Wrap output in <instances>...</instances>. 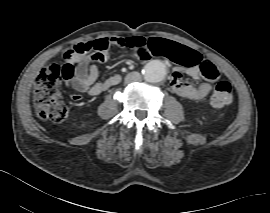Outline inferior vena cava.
<instances>
[{
  "instance_id": "inferior-vena-cava-1",
  "label": "inferior vena cava",
  "mask_w": 270,
  "mask_h": 213,
  "mask_svg": "<svg viewBox=\"0 0 270 213\" xmlns=\"http://www.w3.org/2000/svg\"><path fill=\"white\" fill-rule=\"evenodd\" d=\"M141 80H142V77H141L140 73H138V72H130L125 77L126 83L139 82Z\"/></svg>"
}]
</instances>
